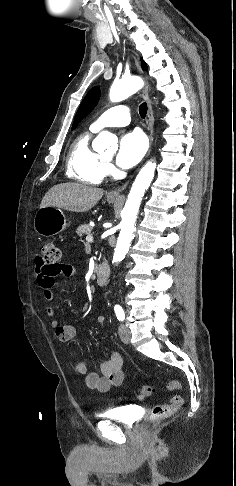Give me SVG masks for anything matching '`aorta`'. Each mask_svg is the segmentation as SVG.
Here are the masks:
<instances>
[{
  "label": "aorta",
  "mask_w": 236,
  "mask_h": 486,
  "mask_svg": "<svg viewBox=\"0 0 236 486\" xmlns=\"http://www.w3.org/2000/svg\"><path fill=\"white\" fill-rule=\"evenodd\" d=\"M143 86V81L136 76L114 82L110 88L109 97L112 102L122 101L136 93ZM116 147V138L108 131H102L93 142V149L101 151ZM156 163L147 162L138 173L122 212L121 231L117 240L113 262H121L129 250L135 231V221L141 204V199L154 177Z\"/></svg>",
  "instance_id": "obj_1"
}]
</instances>
